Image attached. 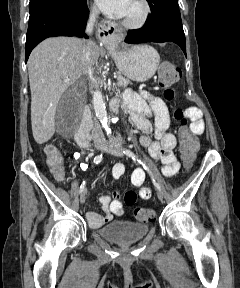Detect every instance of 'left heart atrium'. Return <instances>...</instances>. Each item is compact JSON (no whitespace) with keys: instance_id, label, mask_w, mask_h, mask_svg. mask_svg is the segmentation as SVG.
Returning <instances> with one entry per match:
<instances>
[{"instance_id":"left-heart-atrium-1","label":"left heart atrium","mask_w":240,"mask_h":288,"mask_svg":"<svg viewBox=\"0 0 240 288\" xmlns=\"http://www.w3.org/2000/svg\"><path fill=\"white\" fill-rule=\"evenodd\" d=\"M97 5L105 13L116 16L125 17L128 12L132 0H95Z\"/></svg>"}]
</instances>
